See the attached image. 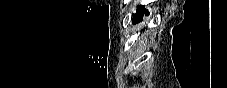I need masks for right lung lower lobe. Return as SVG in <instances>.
<instances>
[{"label":"right lung lower lobe","instance_id":"98d812e1","mask_svg":"<svg viewBox=\"0 0 227 88\" xmlns=\"http://www.w3.org/2000/svg\"><path fill=\"white\" fill-rule=\"evenodd\" d=\"M144 15H149V13L143 6H138L137 13L133 15V22L136 23V22L142 20V17Z\"/></svg>","mask_w":227,"mask_h":88}]
</instances>
